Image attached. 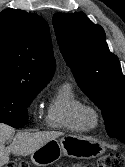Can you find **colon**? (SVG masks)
Listing matches in <instances>:
<instances>
[{
	"instance_id": "obj_1",
	"label": "colon",
	"mask_w": 125,
	"mask_h": 167,
	"mask_svg": "<svg viewBox=\"0 0 125 167\" xmlns=\"http://www.w3.org/2000/svg\"><path fill=\"white\" fill-rule=\"evenodd\" d=\"M5 167H31L27 161H13ZM73 167H125V157L118 153L107 154L102 156L94 166H81L79 164Z\"/></svg>"
}]
</instances>
